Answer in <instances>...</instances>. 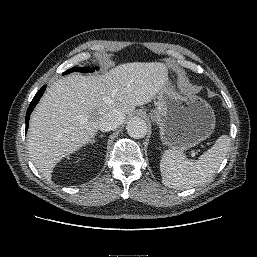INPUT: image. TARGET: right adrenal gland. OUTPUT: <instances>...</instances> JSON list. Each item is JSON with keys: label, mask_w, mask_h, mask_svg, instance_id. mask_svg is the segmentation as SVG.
Here are the masks:
<instances>
[{"label": "right adrenal gland", "mask_w": 257, "mask_h": 257, "mask_svg": "<svg viewBox=\"0 0 257 257\" xmlns=\"http://www.w3.org/2000/svg\"><path fill=\"white\" fill-rule=\"evenodd\" d=\"M100 137H103V135H101ZM95 141H96V138H95V136L91 139V141H90V144L92 145L93 143H95Z\"/></svg>", "instance_id": "obj_1"}]
</instances>
